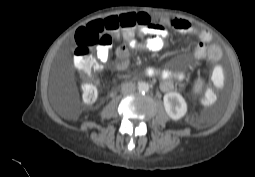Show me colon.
<instances>
[{
  "instance_id": "5ec220e1",
  "label": "colon",
  "mask_w": 255,
  "mask_h": 177,
  "mask_svg": "<svg viewBox=\"0 0 255 177\" xmlns=\"http://www.w3.org/2000/svg\"><path fill=\"white\" fill-rule=\"evenodd\" d=\"M151 24L152 19L146 13H126L92 22L76 31L73 61L87 77L82 87V97L85 102H94L98 95L97 74L100 65L93 56V50L96 49L97 52L100 47L111 46L122 33L133 35V32H138Z\"/></svg>"
}]
</instances>
